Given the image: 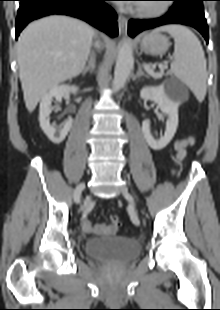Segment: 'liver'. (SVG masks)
Listing matches in <instances>:
<instances>
[{"label": "liver", "instance_id": "liver-1", "mask_svg": "<svg viewBox=\"0 0 220 310\" xmlns=\"http://www.w3.org/2000/svg\"><path fill=\"white\" fill-rule=\"evenodd\" d=\"M93 28L66 16L30 23L17 42V61L24 102L32 112L52 87L78 76L90 53Z\"/></svg>", "mask_w": 220, "mask_h": 310}]
</instances>
